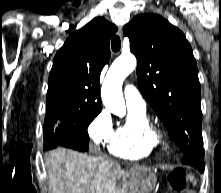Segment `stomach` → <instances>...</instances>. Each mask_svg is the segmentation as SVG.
I'll return each instance as SVG.
<instances>
[{"label":"stomach","instance_id":"0dacf381","mask_svg":"<svg viewBox=\"0 0 221 193\" xmlns=\"http://www.w3.org/2000/svg\"><path fill=\"white\" fill-rule=\"evenodd\" d=\"M153 167L149 164H131V174L133 180L132 193H146L151 190L155 179H159V174H152ZM149 182H152L150 184Z\"/></svg>","mask_w":221,"mask_h":193}]
</instances>
